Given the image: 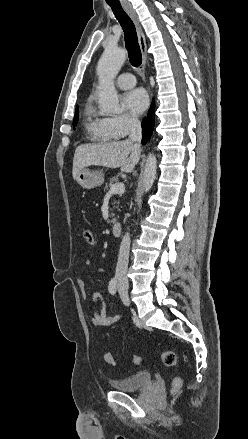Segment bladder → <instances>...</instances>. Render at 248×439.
<instances>
[{
  "label": "bladder",
  "mask_w": 248,
  "mask_h": 439,
  "mask_svg": "<svg viewBox=\"0 0 248 439\" xmlns=\"http://www.w3.org/2000/svg\"><path fill=\"white\" fill-rule=\"evenodd\" d=\"M152 375L148 371L136 372L121 379L111 381V386L121 392H133L150 386Z\"/></svg>",
  "instance_id": "obj_1"
}]
</instances>
